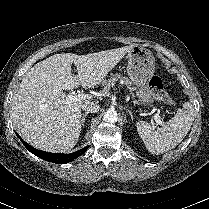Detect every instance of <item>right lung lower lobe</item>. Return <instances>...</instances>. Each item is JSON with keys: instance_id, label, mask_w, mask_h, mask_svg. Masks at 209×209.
Masks as SVG:
<instances>
[{"instance_id": "1", "label": "right lung lower lobe", "mask_w": 209, "mask_h": 209, "mask_svg": "<svg viewBox=\"0 0 209 209\" xmlns=\"http://www.w3.org/2000/svg\"><path fill=\"white\" fill-rule=\"evenodd\" d=\"M17 136L19 137L18 134H17ZM22 142H23L24 146L27 148V150L32 152L37 157L44 159L46 161H49V162L57 163V164L69 163L70 161H73L77 157L81 156L88 149V147H85L81 150H78V151H76L74 153H70V154L47 153V152L33 148L31 145L24 142L23 140H22Z\"/></svg>"}]
</instances>
